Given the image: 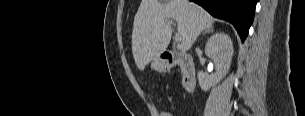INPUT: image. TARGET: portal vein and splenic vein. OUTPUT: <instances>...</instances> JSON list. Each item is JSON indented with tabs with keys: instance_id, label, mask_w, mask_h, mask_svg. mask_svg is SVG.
I'll list each match as a JSON object with an SVG mask.
<instances>
[{
	"instance_id": "18ae733b",
	"label": "portal vein and splenic vein",
	"mask_w": 305,
	"mask_h": 116,
	"mask_svg": "<svg viewBox=\"0 0 305 116\" xmlns=\"http://www.w3.org/2000/svg\"><path fill=\"white\" fill-rule=\"evenodd\" d=\"M175 41L180 42L181 41V35L179 33H176L175 35Z\"/></svg>"
}]
</instances>
